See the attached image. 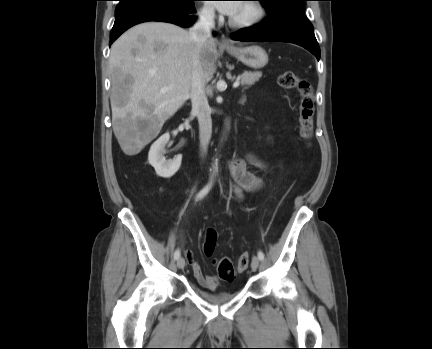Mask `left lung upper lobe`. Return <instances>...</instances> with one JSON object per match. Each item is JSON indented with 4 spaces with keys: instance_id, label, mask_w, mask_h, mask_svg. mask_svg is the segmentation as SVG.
Segmentation results:
<instances>
[{
    "instance_id": "1",
    "label": "left lung upper lobe",
    "mask_w": 432,
    "mask_h": 349,
    "mask_svg": "<svg viewBox=\"0 0 432 349\" xmlns=\"http://www.w3.org/2000/svg\"><path fill=\"white\" fill-rule=\"evenodd\" d=\"M261 1L269 15L280 12L284 14H304V1L307 0H258Z\"/></svg>"
}]
</instances>
